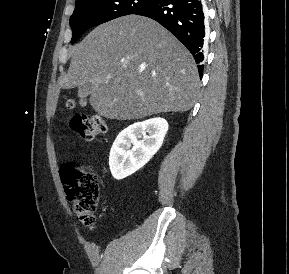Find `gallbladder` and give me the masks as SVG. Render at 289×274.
<instances>
[{
    "label": "gallbladder",
    "instance_id": "gallbladder-1",
    "mask_svg": "<svg viewBox=\"0 0 289 274\" xmlns=\"http://www.w3.org/2000/svg\"><path fill=\"white\" fill-rule=\"evenodd\" d=\"M91 84L90 83H86L82 86L79 87V91H78V96L80 98H85L91 91Z\"/></svg>",
    "mask_w": 289,
    "mask_h": 274
}]
</instances>
